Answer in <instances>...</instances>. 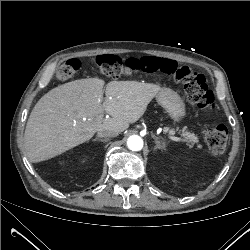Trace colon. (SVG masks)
<instances>
[{"label": "colon", "mask_w": 250, "mask_h": 250, "mask_svg": "<svg viewBox=\"0 0 250 250\" xmlns=\"http://www.w3.org/2000/svg\"><path fill=\"white\" fill-rule=\"evenodd\" d=\"M94 65L105 76L118 78L138 72L145 73H173L175 79L183 84L185 94L193 105L207 111L216 110L215 99L208 88L205 75L192 67H178L172 60L152 57L121 59L115 55H102L93 60ZM81 67L78 59L68 60L61 65L56 76L61 81L72 79ZM205 140L213 153L224 152L228 141V130L223 124H215L205 131Z\"/></svg>", "instance_id": "obj_1"}]
</instances>
